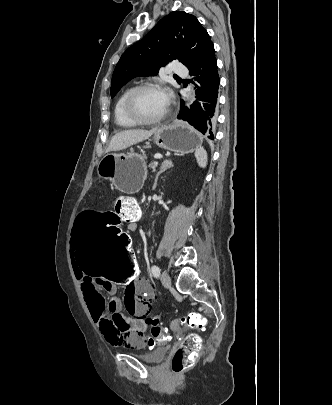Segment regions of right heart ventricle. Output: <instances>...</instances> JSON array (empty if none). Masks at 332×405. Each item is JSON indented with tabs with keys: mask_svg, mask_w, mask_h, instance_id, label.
Masks as SVG:
<instances>
[{
	"mask_svg": "<svg viewBox=\"0 0 332 405\" xmlns=\"http://www.w3.org/2000/svg\"><path fill=\"white\" fill-rule=\"evenodd\" d=\"M132 88H126L124 89L120 95L118 96V98L116 99L115 105H114V120L115 123L120 126V127H125V128H129V127H134L137 124H135L134 122H132L131 120H129L123 111V103L124 100L127 96V94L131 91Z\"/></svg>",
	"mask_w": 332,
	"mask_h": 405,
	"instance_id": "right-heart-ventricle-1",
	"label": "right heart ventricle"
}]
</instances>
